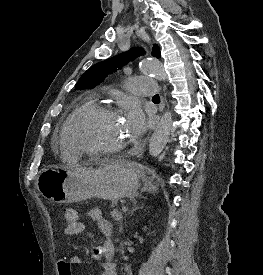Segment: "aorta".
I'll return each instance as SVG.
<instances>
[{
	"label": "aorta",
	"mask_w": 263,
	"mask_h": 275,
	"mask_svg": "<svg viewBox=\"0 0 263 275\" xmlns=\"http://www.w3.org/2000/svg\"><path fill=\"white\" fill-rule=\"evenodd\" d=\"M141 71L153 75L159 80L165 81L167 76L162 63L157 59L144 60L141 64ZM172 130V114L165 112L158 122L149 142V154L152 157L158 156L165 148Z\"/></svg>",
	"instance_id": "aorta-1"
}]
</instances>
